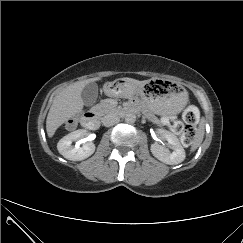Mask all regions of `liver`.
Listing matches in <instances>:
<instances>
[{
    "instance_id": "obj_1",
    "label": "liver",
    "mask_w": 243,
    "mask_h": 243,
    "mask_svg": "<svg viewBox=\"0 0 243 243\" xmlns=\"http://www.w3.org/2000/svg\"><path fill=\"white\" fill-rule=\"evenodd\" d=\"M100 80V78H91L75 82L63 89L53 100L46 119V131L48 137H53L56 130L68 119L74 117L83 108L81 93L84 87L90 83ZM124 80L132 85H144L148 81H137L131 78Z\"/></svg>"
}]
</instances>
